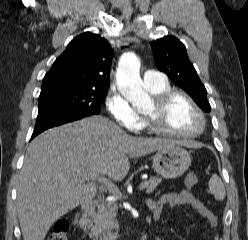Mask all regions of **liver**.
<instances>
[{
    "mask_svg": "<svg viewBox=\"0 0 248 240\" xmlns=\"http://www.w3.org/2000/svg\"><path fill=\"white\" fill-rule=\"evenodd\" d=\"M169 139L133 137L109 119L93 116L55 127L30 143L17 185L24 240H44L50 227L97 193L92 173L123 180L130 158L176 145Z\"/></svg>",
    "mask_w": 248,
    "mask_h": 240,
    "instance_id": "obj_1",
    "label": "liver"
}]
</instances>
